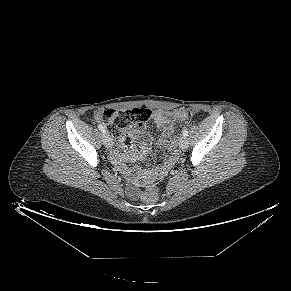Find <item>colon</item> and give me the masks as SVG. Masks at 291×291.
Returning <instances> with one entry per match:
<instances>
[{"label":"colon","mask_w":291,"mask_h":291,"mask_svg":"<svg viewBox=\"0 0 291 291\" xmlns=\"http://www.w3.org/2000/svg\"><path fill=\"white\" fill-rule=\"evenodd\" d=\"M189 110H176L172 113V117L179 120H185L190 117ZM151 116V111L145 108H136L131 110H107L98 115V118L107 128L112 138L121 143L127 151L134 150L132 141V129L136 126L145 124ZM142 197L147 202H155L158 199L156 188L150 187L146 189Z\"/></svg>","instance_id":"obj_1"}]
</instances>
